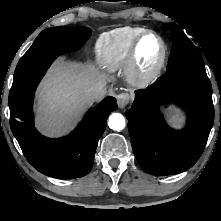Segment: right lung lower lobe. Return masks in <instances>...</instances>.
Masks as SVG:
<instances>
[{"mask_svg":"<svg viewBox=\"0 0 221 221\" xmlns=\"http://www.w3.org/2000/svg\"><path fill=\"white\" fill-rule=\"evenodd\" d=\"M34 94V93H33ZM33 94L10 107V126L24 156L39 172L60 179L85 176L91 170L97 143L106 120L117 109L115 98L108 97L90 109L78 127L67 137L49 139L34 127Z\"/></svg>","mask_w":221,"mask_h":221,"instance_id":"right-lung-lower-lobe-1","label":"right lung lower lobe"}]
</instances>
